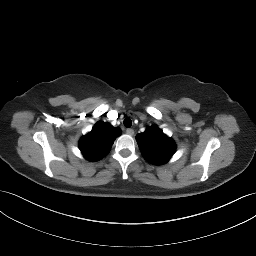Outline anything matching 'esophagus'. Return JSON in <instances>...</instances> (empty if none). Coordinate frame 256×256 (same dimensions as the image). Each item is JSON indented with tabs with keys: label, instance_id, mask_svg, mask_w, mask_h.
Wrapping results in <instances>:
<instances>
[{
	"label": "esophagus",
	"instance_id": "obj_1",
	"mask_svg": "<svg viewBox=\"0 0 256 256\" xmlns=\"http://www.w3.org/2000/svg\"><path fill=\"white\" fill-rule=\"evenodd\" d=\"M126 133L128 134V135H134V130L133 129H131V128H128V129H126Z\"/></svg>",
	"mask_w": 256,
	"mask_h": 256
}]
</instances>
